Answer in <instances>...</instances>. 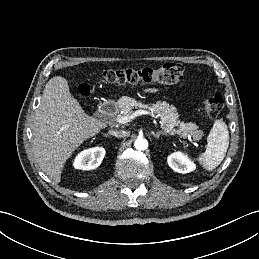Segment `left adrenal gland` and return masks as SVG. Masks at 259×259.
<instances>
[{"instance_id": "1", "label": "left adrenal gland", "mask_w": 259, "mask_h": 259, "mask_svg": "<svg viewBox=\"0 0 259 259\" xmlns=\"http://www.w3.org/2000/svg\"><path fill=\"white\" fill-rule=\"evenodd\" d=\"M152 135H153L155 138L158 139V138L160 137V135H166V133L163 132V131H158V132H156V133L152 132Z\"/></svg>"}]
</instances>
